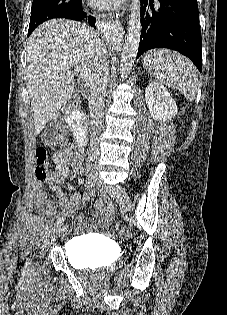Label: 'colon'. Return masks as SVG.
Segmentation results:
<instances>
[{
	"label": "colon",
	"instance_id": "1",
	"mask_svg": "<svg viewBox=\"0 0 227 315\" xmlns=\"http://www.w3.org/2000/svg\"><path fill=\"white\" fill-rule=\"evenodd\" d=\"M68 140L69 132L67 127L63 124H52L44 134L42 142L44 146L52 150H63L67 146ZM35 161L34 178L38 182H44L50 172L48 156L45 149L39 148L36 150ZM108 224L113 231L117 232L121 229L118 219H109ZM122 234L126 235L127 232L122 231Z\"/></svg>",
	"mask_w": 227,
	"mask_h": 315
}]
</instances>
